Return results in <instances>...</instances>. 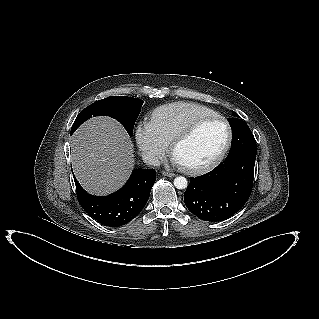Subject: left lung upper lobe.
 <instances>
[{"instance_id":"left-lung-upper-lobe-1","label":"left lung upper lobe","mask_w":319,"mask_h":319,"mask_svg":"<svg viewBox=\"0 0 319 319\" xmlns=\"http://www.w3.org/2000/svg\"><path fill=\"white\" fill-rule=\"evenodd\" d=\"M233 114L238 116L235 112ZM228 121L233 131L231 149L228 155L241 152L257 153L256 141L248 125L238 118L234 122H231L230 119Z\"/></svg>"}]
</instances>
